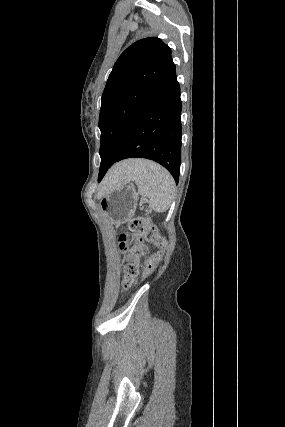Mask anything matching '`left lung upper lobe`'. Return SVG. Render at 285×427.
I'll return each mask as SVG.
<instances>
[{"mask_svg":"<svg viewBox=\"0 0 285 427\" xmlns=\"http://www.w3.org/2000/svg\"><path fill=\"white\" fill-rule=\"evenodd\" d=\"M174 69L171 49L156 37L133 43L116 61L101 100L99 182L113 165L130 122Z\"/></svg>","mask_w":285,"mask_h":427,"instance_id":"left-lung-upper-lobe-1","label":"left lung upper lobe"}]
</instances>
